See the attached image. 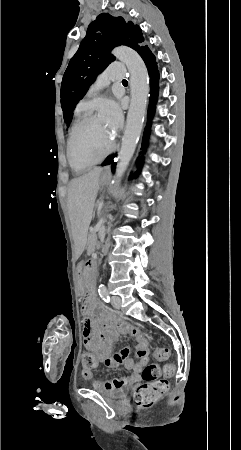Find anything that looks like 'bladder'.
I'll return each instance as SVG.
<instances>
[{
	"label": "bladder",
	"mask_w": 241,
	"mask_h": 450,
	"mask_svg": "<svg viewBox=\"0 0 241 450\" xmlns=\"http://www.w3.org/2000/svg\"><path fill=\"white\" fill-rule=\"evenodd\" d=\"M105 395L111 398H121L123 397V394L121 392L112 391V392H105Z\"/></svg>",
	"instance_id": "1"
}]
</instances>
